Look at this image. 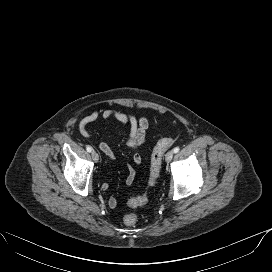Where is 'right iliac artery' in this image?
Masks as SVG:
<instances>
[{"label":"right iliac artery","instance_id":"82829eb1","mask_svg":"<svg viewBox=\"0 0 272 272\" xmlns=\"http://www.w3.org/2000/svg\"><path fill=\"white\" fill-rule=\"evenodd\" d=\"M86 150H87L88 152H92V148H91L90 146H87V147H86Z\"/></svg>","mask_w":272,"mask_h":272}]
</instances>
